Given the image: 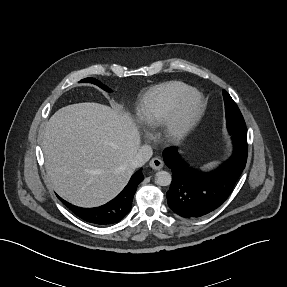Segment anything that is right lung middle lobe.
<instances>
[{
	"mask_svg": "<svg viewBox=\"0 0 287 287\" xmlns=\"http://www.w3.org/2000/svg\"><path fill=\"white\" fill-rule=\"evenodd\" d=\"M81 82H90V83L96 84L97 86L101 87L105 91L111 92L110 88H108L107 86L103 85L100 81H98V80H96L94 78H86V79H83Z\"/></svg>",
	"mask_w": 287,
	"mask_h": 287,
	"instance_id": "obj_1",
	"label": "right lung middle lobe"
}]
</instances>
